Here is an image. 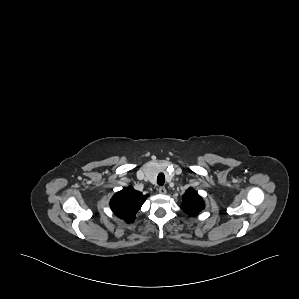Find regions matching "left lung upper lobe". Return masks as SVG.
<instances>
[{
  "label": "left lung upper lobe",
  "instance_id": "obj_1",
  "mask_svg": "<svg viewBox=\"0 0 299 299\" xmlns=\"http://www.w3.org/2000/svg\"><path fill=\"white\" fill-rule=\"evenodd\" d=\"M182 199L181 209L189 216H196L205 207L202 197L193 188H189Z\"/></svg>",
  "mask_w": 299,
  "mask_h": 299
}]
</instances>
